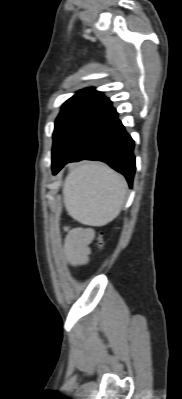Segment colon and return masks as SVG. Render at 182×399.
Listing matches in <instances>:
<instances>
[{
    "mask_svg": "<svg viewBox=\"0 0 182 399\" xmlns=\"http://www.w3.org/2000/svg\"><path fill=\"white\" fill-rule=\"evenodd\" d=\"M97 248L102 251L104 248V233L98 232L95 237Z\"/></svg>",
    "mask_w": 182,
    "mask_h": 399,
    "instance_id": "obj_1",
    "label": "colon"
}]
</instances>
